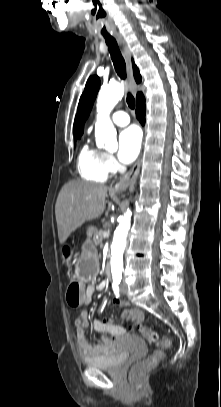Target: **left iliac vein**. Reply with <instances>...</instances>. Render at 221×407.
Masks as SVG:
<instances>
[{
    "instance_id": "obj_1",
    "label": "left iliac vein",
    "mask_w": 221,
    "mask_h": 407,
    "mask_svg": "<svg viewBox=\"0 0 221 407\" xmlns=\"http://www.w3.org/2000/svg\"><path fill=\"white\" fill-rule=\"evenodd\" d=\"M120 291H121L122 295H126V293H127V285L125 283L121 284Z\"/></svg>"
}]
</instances>
